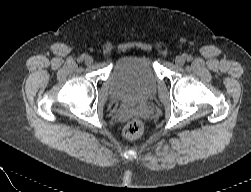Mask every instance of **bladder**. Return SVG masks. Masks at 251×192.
Wrapping results in <instances>:
<instances>
[{"label": "bladder", "instance_id": "31cf9c89", "mask_svg": "<svg viewBox=\"0 0 251 192\" xmlns=\"http://www.w3.org/2000/svg\"><path fill=\"white\" fill-rule=\"evenodd\" d=\"M110 94L115 100H146L157 89L154 59L147 54L126 55L114 64L109 76Z\"/></svg>", "mask_w": 251, "mask_h": 192}]
</instances>
